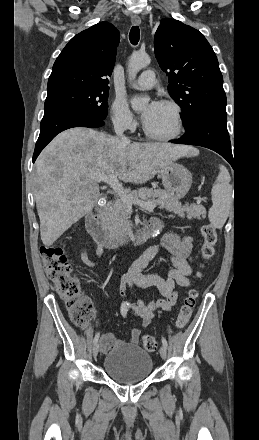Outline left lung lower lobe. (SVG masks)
I'll return each instance as SVG.
<instances>
[{
	"label": "left lung lower lobe",
	"instance_id": "obj_1",
	"mask_svg": "<svg viewBox=\"0 0 259 440\" xmlns=\"http://www.w3.org/2000/svg\"><path fill=\"white\" fill-rule=\"evenodd\" d=\"M227 115L209 112L194 119L186 127V133L172 143L198 145L209 148L223 156L231 165L233 156L227 131Z\"/></svg>",
	"mask_w": 259,
	"mask_h": 440
}]
</instances>
